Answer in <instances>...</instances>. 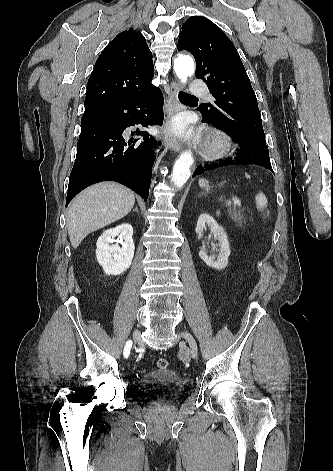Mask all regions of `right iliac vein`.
Wrapping results in <instances>:
<instances>
[{"instance_id": "obj_1", "label": "right iliac vein", "mask_w": 333, "mask_h": 471, "mask_svg": "<svg viewBox=\"0 0 333 471\" xmlns=\"http://www.w3.org/2000/svg\"><path fill=\"white\" fill-rule=\"evenodd\" d=\"M133 338L135 340V343H139L141 341V333L139 330L134 331Z\"/></svg>"}]
</instances>
